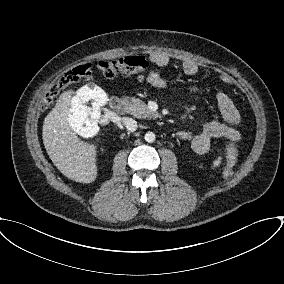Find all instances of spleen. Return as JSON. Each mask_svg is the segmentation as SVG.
<instances>
[{
  "label": "spleen",
  "instance_id": "spleen-1",
  "mask_svg": "<svg viewBox=\"0 0 284 284\" xmlns=\"http://www.w3.org/2000/svg\"><path fill=\"white\" fill-rule=\"evenodd\" d=\"M220 163H221V157H218V158L213 162L212 168H215V167L219 166Z\"/></svg>",
  "mask_w": 284,
  "mask_h": 284
}]
</instances>
